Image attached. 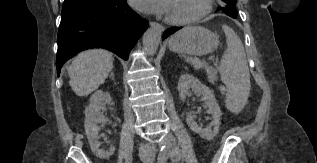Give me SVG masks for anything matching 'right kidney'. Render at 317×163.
Wrapping results in <instances>:
<instances>
[{
  "label": "right kidney",
  "instance_id": "right-kidney-1",
  "mask_svg": "<svg viewBox=\"0 0 317 163\" xmlns=\"http://www.w3.org/2000/svg\"><path fill=\"white\" fill-rule=\"evenodd\" d=\"M111 102V96L108 92L97 90L90 98V104L85 110V122L84 127L86 136L89 141L90 148L96 157L100 159L109 158L115 151L114 147H110L109 150L100 149V142L98 136V124L105 123L109 120L105 118L102 113V107L105 103Z\"/></svg>",
  "mask_w": 317,
  "mask_h": 163
}]
</instances>
